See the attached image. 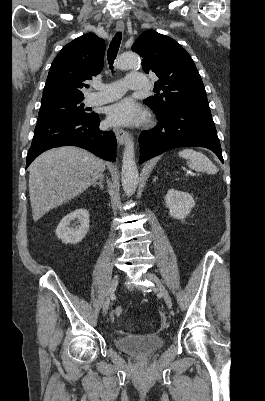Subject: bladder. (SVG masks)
<instances>
[{
  "instance_id": "1",
  "label": "bladder",
  "mask_w": 265,
  "mask_h": 401,
  "mask_svg": "<svg viewBox=\"0 0 265 401\" xmlns=\"http://www.w3.org/2000/svg\"><path fill=\"white\" fill-rule=\"evenodd\" d=\"M118 351H124L136 358H148L155 354L164 344V338L149 335H137L116 338Z\"/></svg>"
}]
</instances>
